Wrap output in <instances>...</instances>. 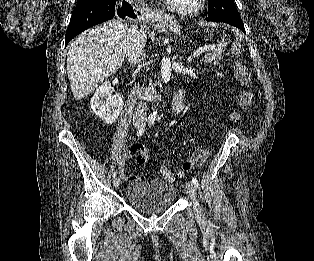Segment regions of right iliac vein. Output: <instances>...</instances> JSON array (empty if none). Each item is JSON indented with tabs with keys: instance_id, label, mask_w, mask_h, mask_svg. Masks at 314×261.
Segmentation results:
<instances>
[{
	"instance_id": "63e3f726",
	"label": "right iliac vein",
	"mask_w": 314,
	"mask_h": 261,
	"mask_svg": "<svg viewBox=\"0 0 314 261\" xmlns=\"http://www.w3.org/2000/svg\"><path fill=\"white\" fill-rule=\"evenodd\" d=\"M134 126L135 127H139L140 124L138 122H135ZM120 184H121L120 178L116 177V178L113 179V185H114L115 188H119Z\"/></svg>"
}]
</instances>
